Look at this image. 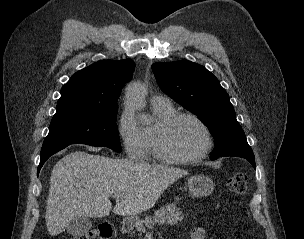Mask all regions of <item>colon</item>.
<instances>
[{
  "instance_id": "obj_1",
  "label": "colon",
  "mask_w": 304,
  "mask_h": 239,
  "mask_svg": "<svg viewBox=\"0 0 304 239\" xmlns=\"http://www.w3.org/2000/svg\"><path fill=\"white\" fill-rule=\"evenodd\" d=\"M247 180V175L244 173L234 174L226 183L227 191L235 196L244 195L247 189ZM111 235L110 225L102 224L73 239H110Z\"/></svg>"
}]
</instances>
